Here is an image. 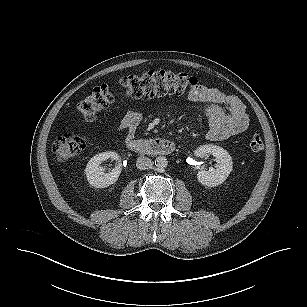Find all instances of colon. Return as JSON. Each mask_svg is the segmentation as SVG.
I'll return each instance as SVG.
<instances>
[{
    "instance_id": "5ec220e1",
    "label": "colon",
    "mask_w": 307,
    "mask_h": 307,
    "mask_svg": "<svg viewBox=\"0 0 307 307\" xmlns=\"http://www.w3.org/2000/svg\"><path fill=\"white\" fill-rule=\"evenodd\" d=\"M120 86L129 96L153 98L167 94L189 93L197 86V79L178 71L150 70L123 77ZM114 100L115 94L108 86H99L79 103L78 110L84 120L92 122L97 112L108 107ZM87 144V137L66 133L54 141L52 150L56 160L64 162L80 153ZM249 146L253 151L263 148V139L258 131L250 136Z\"/></svg>"
}]
</instances>
